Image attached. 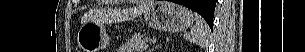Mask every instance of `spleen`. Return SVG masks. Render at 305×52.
<instances>
[{"mask_svg":"<svg viewBox=\"0 0 305 52\" xmlns=\"http://www.w3.org/2000/svg\"><path fill=\"white\" fill-rule=\"evenodd\" d=\"M196 24L192 27L189 33L184 35V38L189 42L199 46H206L210 35V29L206 21L197 13H195Z\"/></svg>","mask_w":305,"mask_h":52,"instance_id":"obj_1","label":"spleen"}]
</instances>
